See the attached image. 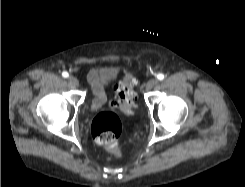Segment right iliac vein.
Wrapping results in <instances>:
<instances>
[{
  "instance_id": "1",
  "label": "right iliac vein",
  "mask_w": 245,
  "mask_h": 187,
  "mask_svg": "<svg viewBox=\"0 0 245 187\" xmlns=\"http://www.w3.org/2000/svg\"><path fill=\"white\" fill-rule=\"evenodd\" d=\"M68 82H69V84H70L71 86H73V87H78V86H79V81H78V79L75 78L74 76H70V77L68 78Z\"/></svg>"
}]
</instances>
